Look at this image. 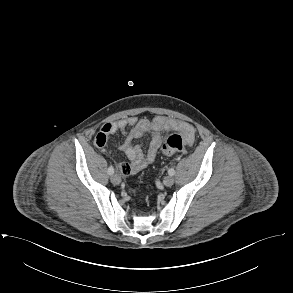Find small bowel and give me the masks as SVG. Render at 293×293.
<instances>
[{
  "instance_id": "1",
  "label": "small bowel",
  "mask_w": 293,
  "mask_h": 293,
  "mask_svg": "<svg viewBox=\"0 0 293 293\" xmlns=\"http://www.w3.org/2000/svg\"><path fill=\"white\" fill-rule=\"evenodd\" d=\"M167 131L179 132L188 146L195 138V130L187 122L167 116H156L152 120L129 116L103 124L95 136L94 143L96 147L105 150L111 135L123 134L124 138L118 144V149L127 156L130 162L118 161L117 165L120 173L127 176L140 172L154 162L163 133ZM146 135L150 136V142L144 152L139 145H134L133 141Z\"/></svg>"
}]
</instances>
